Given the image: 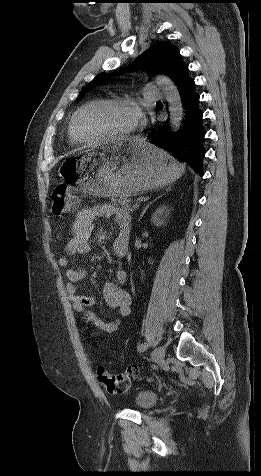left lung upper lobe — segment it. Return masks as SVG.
Masks as SVG:
<instances>
[{
    "label": "left lung upper lobe",
    "instance_id": "left-lung-upper-lobe-1",
    "mask_svg": "<svg viewBox=\"0 0 261 476\" xmlns=\"http://www.w3.org/2000/svg\"><path fill=\"white\" fill-rule=\"evenodd\" d=\"M186 67L187 65L183 63L180 52L176 47L169 42H158L136 58L128 67L121 68L112 73H99L96 75L81 90L78 98L82 97L85 91L93 89L100 84L115 81V77L132 70L144 69L148 74H165L175 82Z\"/></svg>",
    "mask_w": 261,
    "mask_h": 476
}]
</instances>
